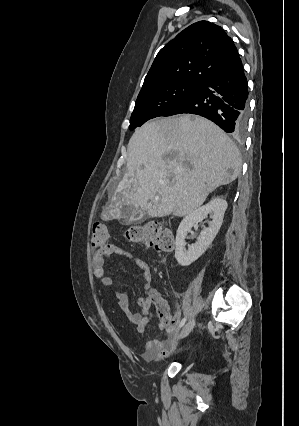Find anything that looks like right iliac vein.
Masks as SVG:
<instances>
[{
  "label": "right iliac vein",
  "instance_id": "obj_1",
  "mask_svg": "<svg viewBox=\"0 0 299 426\" xmlns=\"http://www.w3.org/2000/svg\"><path fill=\"white\" fill-rule=\"evenodd\" d=\"M195 326V318L192 317L187 323L186 325L182 328V330L179 332V334L177 335V339H183L186 336L189 335V333L193 330Z\"/></svg>",
  "mask_w": 299,
  "mask_h": 426
}]
</instances>
